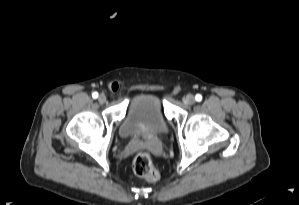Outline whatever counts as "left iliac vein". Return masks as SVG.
Returning <instances> with one entry per match:
<instances>
[{
	"mask_svg": "<svg viewBox=\"0 0 299 205\" xmlns=\"http://www.w3.org/2000/svg\"><path fill=\"white\" fill-rule=\"evenodd\" d=\"M184 103L187 105H193L195 103V97L192 94H188L184 99Z\"/></svg>",
	"mask_w": 299,
	"mask_h": 205,
	"instance_id": "4c4485c4",
	"label": "left iliac vein"
}]
</instances>
